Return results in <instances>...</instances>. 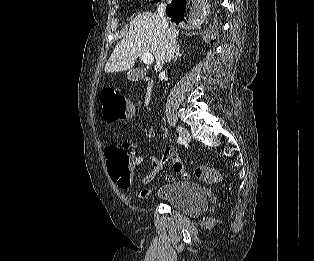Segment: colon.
<instances>
[{
    "label": "colon",
    "mask_w": 314,
    "mask_h": 261,
    "mask_svg": "<svg viewBox=\"0 0 314 261\" xmlns=\"http://www.w3.org/2000/svg\"><path fill=\"white\" fill-rule=\"evenodd\" d=\"M101 115L106 122L113 123L127 119L131 115V106L123 93L115 88L104 89L99 96ZM106 168L109 176L121 187L131 183L133 166L126 147L109 146L105 149ZM195 176L206 183H217L222 175L215 169L205 165L196 166ZM188 177L187 173L183 174Z\"/></svg>",
    "instance_id": "1"
}]
</instances>
